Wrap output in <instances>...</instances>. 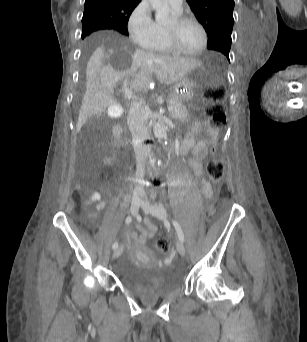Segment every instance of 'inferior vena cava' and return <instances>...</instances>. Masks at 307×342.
Masks as SVG:
<instances>
[{"label":"inferior vena cava","instance_id":"inferior-vena-cava-1","mask_svg":"<svg viewBox=\"0 0 307 342\" xmlns=\"http://www.w3.org/2000/svg\"><path fill=\"white\" fill-rule=\"evenodd\" d=\"M145 102L139 100V102H133L128 112L127 124L132 134L133 148L136 158V186L134 188V194H144V174L145 164L148 156H150L149 146H144V140L148 138L147 128L144 124V114L141 110Z\"/></svg>","mask_w":307,"mask_h":342}]
</instances>
